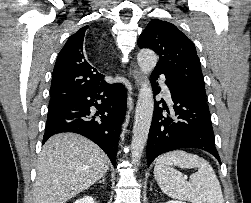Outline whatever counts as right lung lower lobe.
I'll use <instances>...</instances> for the list:
<instances>
[{"label": "right lung lower lobe", "mask_w": 251, "mask_h": 203, "mask_svg": "<svg viewBox=\"0 0 251 203\" xmlns=\"http://www.w3.org/2000/svg\"><path fill=\"white\" fill-rule=\"evenodd\" d=\"M92 106L98 109L96 113L90 110ZM125 110L126 91L121 83L90 86L49 107L43 143L58 133H78L100 146L115 165Z\"/></svg>", "instance_id": "obj_1"}]
</instances>
